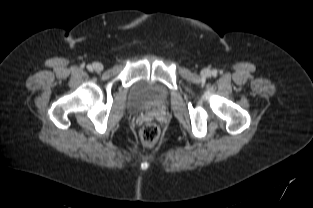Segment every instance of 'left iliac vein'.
Segmentation results:
<instances>
[{
    "instance_id": "1",
    "label": "left iliac vein",
    "mask_w": 313,
    "mask_h": 208,
    "mask_svg": "<svg viewBox=\"0 0 313 208\" xmlns=\"http://www.w3.org/2000/svg\"><path fill=\"white\" fill-rule=\"evenodd\" d=\"M201 75L203 77H209L211 75V72L208 69H205L201 72Z\"/></svg>"
}]
</instances>
